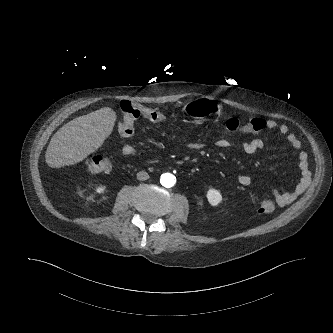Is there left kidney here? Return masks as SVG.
I'll return each mask as SVG.
<instances>
[{
    "label": "left kidney",
    "instance_id": "left-kidney-1",
    "mask_svg": "<svg viewBox=\"0 0 333 333\" xmlns=\"http://www.w3.org/2000/svg\"><path fill=\"white\" fill-rule=\"evenodd\" d=\"M207 199L212 206H217L222 201V195L216 189H209L207 191Z\"/></svg>",
    "mask_w": 333,
    "mask_h": 333
}]
</instances>
